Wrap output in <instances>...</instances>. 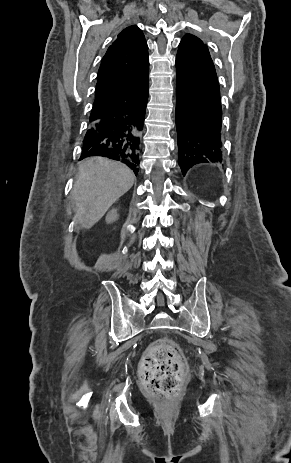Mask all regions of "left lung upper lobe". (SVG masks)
I'll return each instance as SVG.
<instances>
[{"mask_svg": "<svg viewBox=\"0 0 291 463\" xmlns=\"http://www.w3.org/2000/svg\"><path fill=\"white\" fill-rule=\"evenodd\" d=\"M176 71L219 87L208 47L194 35L186 34L182 38L176 56Z\"/></svg>", "mask_w": 291, "mask_h": 463, "instance_id": "obj_1", "label": "left lung upper lobe"}]
</instances>
